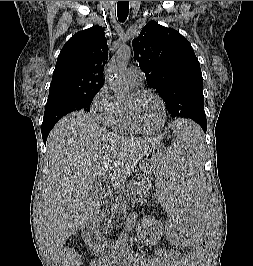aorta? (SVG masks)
<instances>
[{"mask_svg":"<svg viewBox=\"0 0 253 266\" xmlns=\"http://www.w3.org/2000/svg\"><path fill=\"white\" fill-rule=\"evenodd\" d=\"M132 57V48L122 46L114 58L107 64L104 77L117 97H124L129 93V86L125 79V69Z\"/></svg>","mask_w":253,"mask_h":266,"instance_id":"762f6f07","label":"aorta"}]
</instances>
